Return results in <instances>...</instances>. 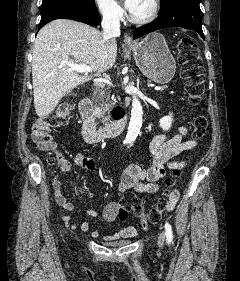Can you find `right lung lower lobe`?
<instances>
[{
    "label": "right lung lower lobe",
    "instance_id": "1",
    "mask_svg": "<svg viewBox=\"0 0 240 281\" xmlns=\"http://www.w3.org/2000/svg\"><path fill=\"white\" fill-rule=\"evenodd\" d=\"M55 19H72L95 26L100 22L98 11L79 10L73 7H57L41 14L39 29Z\"/></svg>",
    "mask_w": 240,
    "mask_h": 281
}]
</instances>
